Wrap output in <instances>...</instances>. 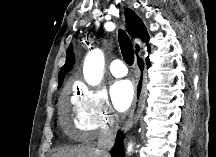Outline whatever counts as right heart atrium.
<instances>
[{
  "instance_id": "obj_1",
  "label": "right heart atrium",
  "mask_w": 216,
  "mask_h": 157,
  "mask_svg": "<svg viewBox=\"0 0 216 157\" xmlns=\"http://www.w3.org/2000/svg\"><path fill=\"white\" fill-rule=\"evenodd\" d=\"M74 113V130L83 137L108 133L114 129L117 120L107 94L103 90L85 86L79 89Z\"/></svg>"
}]
</instances>
